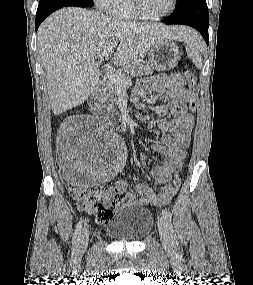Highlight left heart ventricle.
Listing matches in <instances>:
<instances>
[{
	"label": "left heart ventricle",
	"mask_w": 253,
	"mask_h": 285,
	"mask_svg": "<svg viewBox=\"0 0 253 285\" xmlns=\"http://www.w3.org/2000/svg\"><path fill=\"white\" fill-rule=\"evenodd\" d=\"M142 10L149 15H159L168 11L172 0H140Z\"/></svg>",
	"instance_id": "left-heart-ventricle-1"
}]
</instances>
